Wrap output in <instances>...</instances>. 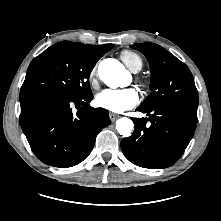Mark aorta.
<instances>
[{
  "label": "aorta",
  "mask_w": 221,
  "mask_h": 221,
  "mask_svg": "<svg viewBox=\"0 0 221 221\" xmlns=\"http://www.w3.org/2000/svg\"><path fill=\"white\" fill-rule=\"evenodd\" d=\"M100 79L109 87L116 88L122 85V79L126 76L127 71L124 66L116 60H103L98 66ZM134 124L131 119L122 117L116 122L117 131L127 137L133 130Z\"/></svg>",
  "instance_id": "obj_1"
}]
</instances>
